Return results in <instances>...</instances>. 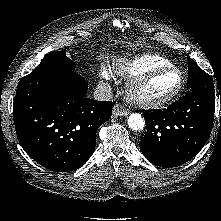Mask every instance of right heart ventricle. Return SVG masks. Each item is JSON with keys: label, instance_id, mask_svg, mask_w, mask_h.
<instances>
[{"label": "right heart ventricle", "instance_id": "1", "mask_svg": "<svg viewBox=\"0 0 221 221\" xmlns=\"http://www.w3.org/2000/svg\"><path fill=\"white\" fill-rule=\"evenodd\" d=\"M172 65V62L163 56L156 54H139L120 59L114 67L120 76L133 78L152 69Z\"/></svg>", "mask_w": 221, "mask_h": 221}]
</instances>
